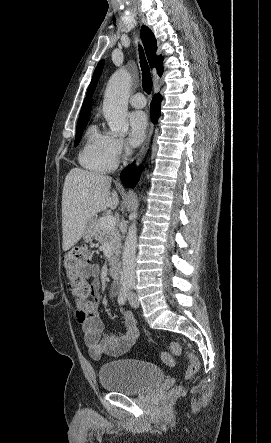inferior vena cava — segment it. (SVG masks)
<instances>
[{
	"instance_id": "obj_1",
	"label": "inferior vena cava",
	"mask_w": 271,
	"mask_h": 443,
	"mask_svg": "<svg viewBox=\"0 0 271 443\" xmlns=\"http://www.w3.org/2000/svg\"><path fill=\"white\" fill-rule=\"evenodd\" d=\"M125 152H126V154H132V150H131V148H128V146H126ZM124 231H125V229H124Z\"/></svg>"
}]
</instances>
